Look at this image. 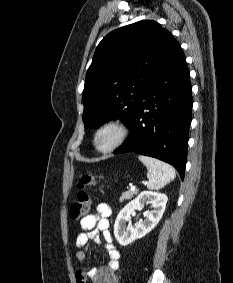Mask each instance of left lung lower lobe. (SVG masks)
Instances as JSON below:
<instances>
[{
	"mask_svg": "<svg viewBox=\"0 0 233 283\" xmlns=\"http://www.w3.org/2000/svg\"><path fill=\"white\" fill-rule=\"evenodd\" d=\"M193 105L189 70L177 42L151 74L127 124L131 134L115 154L136 152L173 165L181 179Z\"/></svg>",
	"mask_w": 233,
	"mask_h": 283,
	"instance_id": "obj_1",
	"label": "left lung lower lobe"
}]
</instances>
